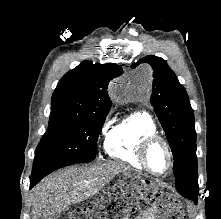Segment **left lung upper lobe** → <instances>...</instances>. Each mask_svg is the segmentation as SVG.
<instances>
[{
	"label": "left lung upper lobe",
	"mask_w": 221,
	"mask_h": 219,
	"mask_svg": "<svg viewBox=\"0 0 221 219\" xmlns=\"http://www.w3.org/2000/svg\"><path fill=\"white\" fill-rule=\"evenodd\" d=\"M143 62L150 64L154 70L150 101L172 149L177 190L193 199L198 197L199 188L194 113L188 95L162 58L146 56L134 63L132 68Z\"/></svg>",
	"instance_id": "5c2ea615"
}]
</instances>
